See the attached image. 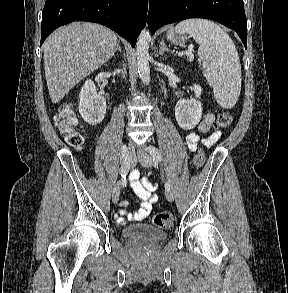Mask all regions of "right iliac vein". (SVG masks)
Here are the masks:
<instances>
[{"instance_id": "1", "label": "right iliac vein", "mask_w": 288, "mask_h": 293, "mask_svg": "<svg viewBox=\"0 0 288 293\" xmlns=\"http://www.w3.org/2000/svg\"><path fill=\"white\" fill-rule=\"evenodd\" d=\"M123 147H129V152H128V156H129V166L134 163L135 161V157L133 154V146L131 144H129L128 146L124 145ZM120 188H121V183L117 182L112 190V201L113 203H117L119 200V196H120Z\"/></svg>"}]
</instances>
